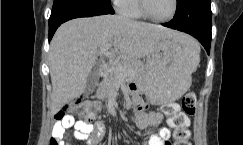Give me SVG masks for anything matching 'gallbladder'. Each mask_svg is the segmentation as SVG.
<instances>
[{
	"mask_svg": "<svg viewBox=\"0 0 243 145\" xmlns=\"http://www.w3.org/2000/svg\"><path fill=\"white\" fill-rule=\"evenodd\" d=\"M98 80H99V64L96 63L91 69L87 78L86 87H85L86 95H89L94 91Z\"/></svg>",
	"mask_w": 243,
	"mask_h": 145,
	"instance_id": "obj_1",
	"label": "gallbladder"
}]
</instances>
